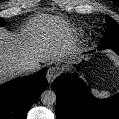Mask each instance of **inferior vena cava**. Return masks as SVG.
<instances>
[{
    "label": "inferior vena cava",
    "instance_id": "602c4592",
    "mask_svg": "<svg viewBox=\"0 0 119 119\" xmlns=\"http://www.w3.org/2000/svg\"><path fill=\"white\" fill-rule=\"evenodd\" d=\"M19 70L22 74L29 75L35 72L36 70H38V66L37 65H26V66L20 67Z\"/></svg>",
    "mask_w": 119,
    "mask_h": 119
}]
</instances>
